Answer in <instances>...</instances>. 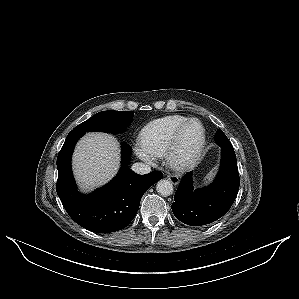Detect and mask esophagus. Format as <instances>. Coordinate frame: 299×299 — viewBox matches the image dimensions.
Returning a JSON list of instances; mask_svg holds the SVG:
<instances>
[{"mask_svg": "<svg viewBox=\"0 0 299 299\" xmlns=\"http://www.w3.org/2000/svg\"><path fill=\"white\" fill-rule=\"evenodd\" d=\"M166 177L174 185H177L179 183V181H180L179 178H178V176L173 175V174H167Z\"/></svg>", "mask_w": 299, "mask_h": 299, "instance_id": "esophagus-1", "label": "esophagus"}]
</instances>
